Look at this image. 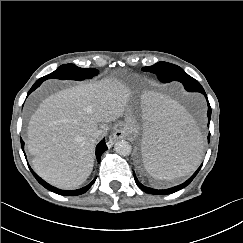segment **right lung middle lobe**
<instances>
[{
  "instance_id": "right-lung-middle-lobe-1",
  "label": "right lung middle lobe",
  "mask_w": 243,
  "mask_h": 243,
  "mask_svg": "<svg viewBox=\"0 0 243 243\" xmlns=\"http://www.w3.org/2000/svg\"><path fill=\"white\" fill-rule=\"evenodd\" d=\"M97 74H98V71L96 69L80 68L74 64H64V65H61L56 71L40 78L38 81L43 82L50 78H56V79H61V80H66V79L70 80L71 79V80L81 81L86 78H92L93 76H96Z\"/></svg>"
}]
</instances>
